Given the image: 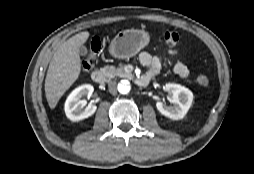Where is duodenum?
Segmentation results:
<instances>
[{"mask_svg":"<svg viewBox=\"0 0 254 174\" xmlns=\"http://www.w3.org/2000/svg\"><path fill=\"white\" fill-rule=\"evenodd\" d=\"M91 78H92L93 82H95L96 84L102 85L106 81V74L101 70H95L92 72ZM151 78H152V76H150V75L138 76L135 79V83L140 87H145L149 84Z\"/></svg>","mask_w":254,"mask_h":174,"instance_id":"1","label":"duodenum"}]
</instances>
